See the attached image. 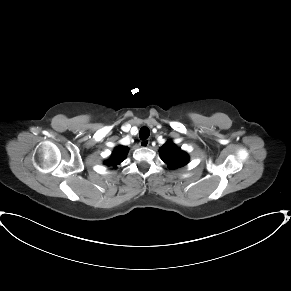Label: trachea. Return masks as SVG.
<instances>
[{"label":"trachea","mask_w":291,"mask_h":291,"mask_svg":"<svg viewBox=\"0 0 291 291\" xmlns=\"http://www.w3.org/2000/svg\"><path fill=\"white\" fill-rule=\"evenodd\" d=\"M150 135V130L147 127H142L139 132V137L141 140H146Z\"/></svg>","instance_id":"obj_1"}]
</instances>
